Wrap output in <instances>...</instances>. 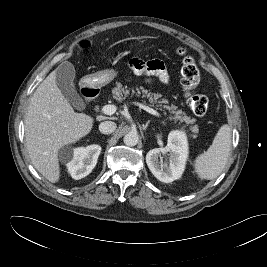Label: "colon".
<instances>
[{
    "label": "colon",
    "mask_w": 267,
    "mask_h": 267,
    "mask_svg": "<svg viewBox=\"0 0 267 267\" xmlns=\"http://www.w3.org/2000/svg\"><path fill=\"white\" fill-rule=\"evenodd\" d=\"M88 43H84L83 46H87ZM180 55L182 56L181 64V85L184 90L187 104L191 111L198 115H204L208 110V98L202 94L196 92V87L200 80V74L195 60L186 54L184 49H180Z\"/></svg>",
    "instance_id": "obj_1"
}]
</instances>
